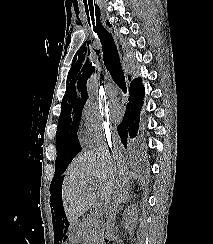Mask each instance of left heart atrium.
I'll use <instances>...</instances> for the list:
<instances>
[{
    "label": "left heart atrium",
    "instance_id": "obj_1",
    "mask_svg": "<svg viewBox=\"0 0 213 244\" xmlns=\"http://www.w3.org/2000/svg\"><path fill=\"white\" fill-rule=\"evenodd\" d=\"M108 113L114 119L117 120L121 116V108L117 101L112 100L108 104Z\"/></svg>",
    "mask_w": 213,
    "mask_h": 244
}]
</instances>
